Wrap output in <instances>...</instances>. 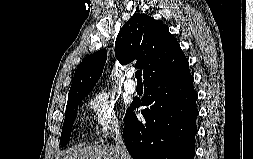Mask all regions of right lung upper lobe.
Wrapping results in <instances>:
<instances>
[{
	"label": "right lung upper lobe",
	"instance_id": "cb5924a9",
	"mask_svg": "<svg viewBox=\"0 0 253 159\" xmlns=\"http://www.w3.org/2000/svg\"><path fill=\"white\" fill-rule=\"evenodd\" d=\"M115 55L121 64L137 60L144 83L168 76L188 63L179 43L167 25L144 14L133 15L121 28L115 42ZM107 51L87 56L77 67L68 101L87 96L100 78Z\"/></svg>",
	"mask_w": 253,
	"mask_h": 159
}]
</instances>
